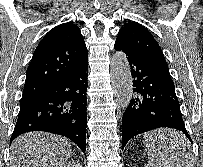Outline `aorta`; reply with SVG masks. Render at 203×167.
<instances>
[{
	"mask_svg": "<svg viewBox=\"0 0 203 167\" xmlns=\"http://www.w3.org/2000/svg\"><path fill=\"white\" fill-rule=\"evenodd\" d=\"M110 74L116 101L125 109L132 99L133 83L127 57L122 52H114L110 63Z\"/></svg>",
	"mask_w": 203,
	"mask_h": 167,
	"instance_id": "obj_1",
	"label": "aorta"
}]
</instances>
